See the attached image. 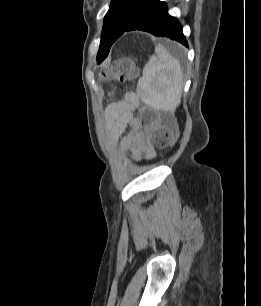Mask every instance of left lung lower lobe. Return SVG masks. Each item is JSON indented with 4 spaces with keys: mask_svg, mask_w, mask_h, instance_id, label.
Masks as SVG:
<instances>
[{
    "mask_svg": "<svg viewBox=\"0 0 261 306\" xmlns=\"http://www.w3.org/2000/svg\"><path fill=\"white\" fill-rule=\"evenodd\" d=\"M132 30H142L155 36H165L188 47L181 24L168 14L165 3L159 0L145 1L123 33Z\"/></svg>",
    "mask_w": 261,
    "mask_h": 306,
    "instance_id": "left-lung-lower-lobe-1",
    "label": "left lung lower lobe"
}]
</instances>
